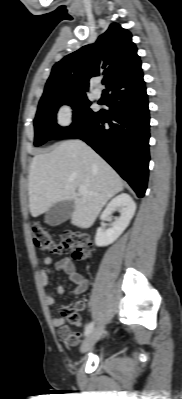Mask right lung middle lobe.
Instances as JSON below:
<instances>
[{"instance_id": "dd1d6c3e", "label": "right lung middle lobe", "mask_w": 182, "mask_h": 399, "mask_svg": "<svg viewBox=\"0 0 182 399\" xmlns=\"http://www.w3.org/2000/svg\"><path fill=\"white\" fill-rule=\"evenodd\" d=\"M68 104L73 107V123L69 127H60L56 123L58 108ZM91 102L86 95H65L40 100L34 121L35 146L51 139H62L67 133L81 130L95 114L89 107Z\"/></svg>"}]
</instances>
